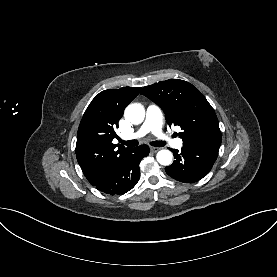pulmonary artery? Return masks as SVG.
Here are the masks:
<instances>
[{
    "mask_svg": "<svg viewBox=\"0 0 277 277\" xmlns=\"http://www.w3.org/2000/svg\"><path fill=\"white\" fill-rule=\"evenodd\" d=\"M162 113L158 106L150 105L146 111V119L139 130L129 138H139L152 132L161 140L170 144L172 147L180 149L183 145V140L180 138H172L162 132Z\"/></svg>",
    "mask_w": 277,
    "mask_h": 277,
    "instance_id": "pulmonary-artery-1",
    "label": "pulmonary artery"
}]
</instances>
